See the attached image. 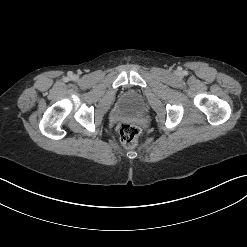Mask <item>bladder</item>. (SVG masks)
Masks as SVG:
<instances>
[{
    "label": "bladder",
    "instance_id": "31cf9c89",
    "mask_svg": "<svg viewBox=\"0 0 247 247\" xmlns=\"http://www.w3.org/2000/svg\"><path fill=\"white\" fill-rule=\"evenodd\" d=\"M143 108V98L137 91H128L122 99V109L129 114H138Z\"/></svg>",
    "mask_w": 247,
    "mask_h": 247
}]
</instances>
